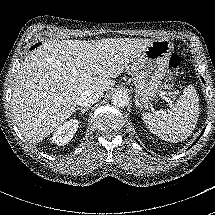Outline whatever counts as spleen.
I'll list each match as a JSON object with an SVG mask.
<instances>
[{
  "label": "spleen",
  "instance_id": "spleen-1",
  "mask_svg": "<svg viewBox=\"0 0 215 215\" xmlns=\"http://www.w3.org/2000/svg\"><path fill=\"white\" fill-rule=\"evenodd\" d=\"M198 100L193 87L184 88L182 95L168 111L143 112V122L159 138L178 142L189 136L195 127L199 112Z\"/></svg>",
  "mask_w": 215,
  "mask_h": 215
}]
</instances>
